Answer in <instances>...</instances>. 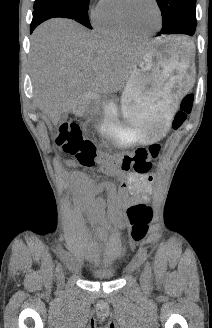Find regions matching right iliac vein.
<instances>
[{
	"mask_svg": "<svg viewBox=\"0 0 212 328\" xmlns=\"http://www.w3.org/2000/svg\"><path fill=\"white\" fill-rule=\"evenodd\" d=\"M64 282V273L61 271L58 277V283L61 285Z\"/></svg>",
	"mask_w": 212,
	"mask_h": 328,
	"instance_id": "right-iliac-vein-1",
	"label": "right iliac vein"
}]
</instances>
